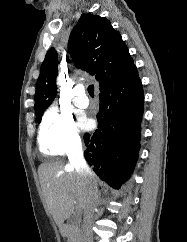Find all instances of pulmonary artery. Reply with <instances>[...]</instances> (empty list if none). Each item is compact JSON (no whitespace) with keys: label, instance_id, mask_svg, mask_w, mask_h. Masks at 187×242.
I'll list each match as a JSON object with an SVG mask.
<instances>
[{"label":"pulmonary artery","instance_id":"obj_1","mask_svg":"<svg viewBox=\"0 0 187 242\" xmlns=\"http://www.w3.org/2000/svg\"><path fill=\"white\" fill-rule=\"evenodd\" d=\"M73 101L75 106L79 108H86L89 105V100L85 94L83 85H77L73 91Z\"/></svg>","mask_w":187,"mask_h":242}]
</instances>
